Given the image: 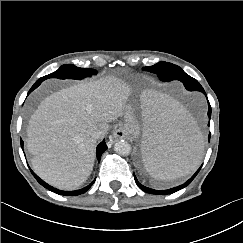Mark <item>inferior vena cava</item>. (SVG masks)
<instances>
[{
  "instance_id": "obj_1",
  "label": "inferior vena cava",
  "mask_w": 243,
  "mask_h": 243,
  "mask_svg": "<svg viewBox=\"0 0 243 243\" xmlns=\"http://www.w3.org/2000/svg\"><path fill=\"white\" fill-rule=\"evenodd\" d=\"M101 135H102V131H96V132H94L93 137L95 139H98L99 137H101Z\"/></svg>"
}]
</instances>
